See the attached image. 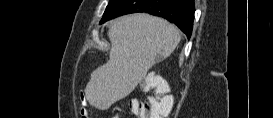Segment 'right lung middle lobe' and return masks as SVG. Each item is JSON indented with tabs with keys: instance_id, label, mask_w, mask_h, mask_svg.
<instances>
[{
	"instance_id": "obj_1",
	"label": "right lung middle lobe",
	"mask_w": 273,
	"mask_h": 118,
	"mask_svg": "<svg viewBox=\"0 0 273 118\" xmlns=\"http://www.w3.org/2000/svg\"><path fill=\"white\" fill-rule=\"evenodd\" d=\"M121 0H110L108 6L106 7V10L104 12L103 18L107 17L112 13L113 8L119 4Z\"/></svg>"
}]
</instances>
